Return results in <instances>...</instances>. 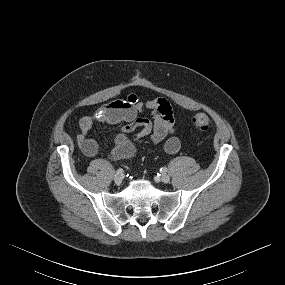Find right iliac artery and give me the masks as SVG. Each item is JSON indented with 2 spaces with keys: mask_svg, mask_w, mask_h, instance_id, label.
<instances>
[{
  "mask_svg": "<svg viewBox=\"0 0 285 285\" xmlns=\"http://www.w3.org/2000/svg\"><path fill=\"white\" fill-rule=\"evenodd\" d=\"M123 172H124V171H123V169H121V168H119V169L116 171V173H117V174H120V175H121Z\"/></svg>",
  "mask_w": 285,
  "mask_h": 285,
  "instance_id": "obj_1",
  "label": "right iliac artery"
}]
</instances>
